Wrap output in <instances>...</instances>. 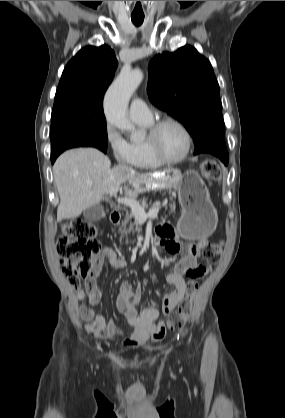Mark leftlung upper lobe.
Segmentation results:
<instances>
[{
    "mask_svg": "<svg viewBox=\"0 0 285 418\" xmlns=\"http://www.w3.org/2000/svg\"><path fill=\"white\" fill-rule=\"evenodd\" d=\"M148 69L149 99L186 127L194 153L217 155L228 163L219 85L210 62L194 47L183 46L156 55Z\"/></svg>",
    "mask_w": 285,
    "mask_h": 418,
    "instance_id": "1",
    "label": "left lung upper lobe"
}]
</instances>
